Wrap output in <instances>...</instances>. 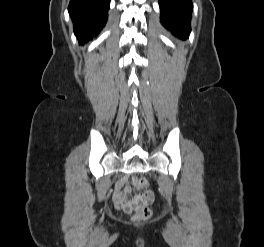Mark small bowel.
Segmentation results:
<instances>
[{"instance_id": "obj_1", "label": "small bowel", "mask_w": 264, "mask_h": 247, "mask_svg": "<svg viewBox=\"0 0 264 247\" xmlns=\"http://www.w3.org/2000/svg\"><path fill=\"white\" fill-rule=\"evenodd\" d=\"M130 179L128 177L121 178L120 181H118L113 190V198L117 205L119 206V200L121 198H125L128 195H131L132 189L129 186Z\"/></svg>"}]
</instances>
